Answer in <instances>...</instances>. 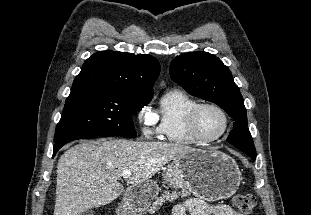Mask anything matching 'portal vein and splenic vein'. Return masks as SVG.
<instances>
[{
	"mask_svg": "<svg viewBox=\"0 0 311 215\" xmlns=\"http://www.w3.org/2000/svg\"><path fill=\"white\" fill-rule=\"evenodd\" d=\"M131 174H132L131 171H124V172L122 173V177H123L124 179H128V178L131 176Z\"/></svg>",
	"mask_w": 311,
	"mask_h": 215,
	"instance_id": "obj_1",
	"label": "portal vein and splenic vein"
}]
</instances>
